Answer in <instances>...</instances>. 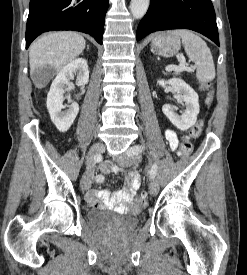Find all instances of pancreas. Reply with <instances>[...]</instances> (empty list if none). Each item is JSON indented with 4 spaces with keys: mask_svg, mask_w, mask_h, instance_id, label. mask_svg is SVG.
<instances>
[{
    "mask_svg": "<svg viewBox=\"0 0 247 275\" xmlns=\"http://www.w3.org/2000/svg\"><path fill=\"white\" fill-rule=\"evenodd\" d=\"M180 72H177V71H175V74L177 75V74H179Z\"/></svg>",
    "mask_w": 247,
    "mask_h": 275,
    "instance_id": "1",
    "label": "pancreas"
}]
</instances>
